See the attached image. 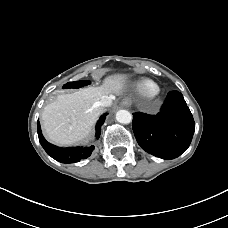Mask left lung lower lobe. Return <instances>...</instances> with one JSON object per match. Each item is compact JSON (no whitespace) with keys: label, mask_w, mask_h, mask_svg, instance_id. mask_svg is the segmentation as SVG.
I'll use <instances>...</instances> for the list:
<instances>
[{"label":"left lung lower lobe","mask_w":228,"mask_h":228,"mask_svg":"<svg viewBox=\"0 0 228 228\" xmlns=\"http://www.w3.org/2000/svg\"><path fill=\"white\" fill-rule=\"evenodd\" d=\"M132 128L146 152L162 159H174L189 147L195 123L182 94L171 91L157 115L133 113Z\"/></svg>","instance_id":"obj_1"}]
</instances>
